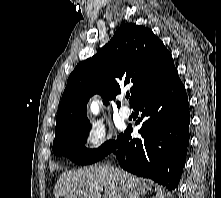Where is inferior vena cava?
<instances>
[{
	"label": "inferior vena cava",
	"mask_w": 221,
	"mask_h": 198,
	"mask_svg": "<svg viewBox=\"0 0 221 198\" xmlns=\"http://www.w3.org/2000/svg\"><path fill=\"white\" fill-rule=\"evenodd\" d=\"M107 167L113 169L112 166L106 165ZM117 176L120 179V183L122 185V189L124 192L125 198H137L136 193L134 192L132 184L129 182V180L120 172L117 171Z\"/></svg>",
	"instance_id": "inferior-vena-cava-1"
}]
</instances>
